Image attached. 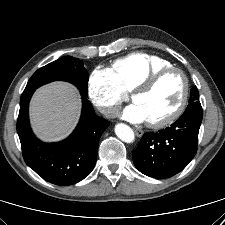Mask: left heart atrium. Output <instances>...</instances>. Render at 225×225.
<instances>
[{"instance_id":"1","label":"left heart atrium","mask_w":225,"mask_h":225,"mask_svg":"<svg viewBox=\"0 0 225 225\" xmlns=\"http://www.w3.org/2000/svg\"><path fill=\"white\" fill-rule=\"evenodd\" d=\"M122 116L124 119L133 123H142L147 121L143 109L136 103H133L126 107L122 113Z\"/></svg>"}]
</instances>
